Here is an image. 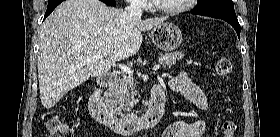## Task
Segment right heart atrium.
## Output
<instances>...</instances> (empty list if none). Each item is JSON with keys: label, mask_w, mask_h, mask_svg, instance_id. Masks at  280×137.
I'll return each instance as SVG.
<instances>
[{"label": "right heart atrium", "mask_w": 280, "mask_h": 137, "mask_svg": "<svg viewBox=\"0 0 280 137\" xmlns=\"http://www.w3.org/2000/svg\"><path fill=\"white\" fill-rule=\"evenodd\" d=\"M131 3L134 8L138 9H145L147 6L146 0H132Z\"/></svg>", "instance_id": "1"}]
</instances>
